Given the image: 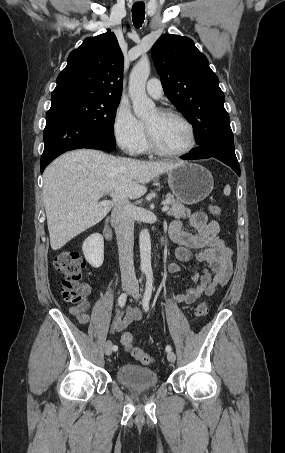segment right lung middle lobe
<instances>
[{"label":"right lung middle lobe","instance_id":"right-lung-middle-lobe-1","mask_svg":"<svg viewBox=\"0 0 285 453\" xmlns=\"http://www.w3.org/2000/svg\"><path fill=\"white\" fill-rule=\"evenodd\" d=\"M52 106L74 114L86 127L115 142L113 124L120 99L106 96L69 95L52 100Z\"/></svg>","mask_w":285,"mask_h":453}]
</instances>
